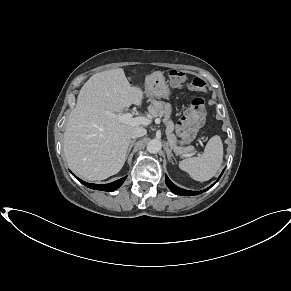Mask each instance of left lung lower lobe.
<instances>
[{"instance_id":"left-lung-lower-lobe-1","label":"left lung lower lobe","mask_w":291,"mask_h":291,"mask_svg":"<svg viewBox=\"0 0 291 291\" xmlns=\"http://www.w3.org/2000/svg\"><path fill=\"white\" fill-rule=\"evenodd\" d=\"M165 182H166V185L169 187V189L178 195H198V194L208 190L209 188H211L213 186V185H211L209 188H207L205 190H201V191H188V190L182 189L180 187H177L174 183H172L170 181V179L167 176H165Z\"/></svg>"}]
</instances>
